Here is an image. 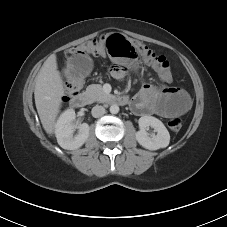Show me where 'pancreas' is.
<instances>
[{"mask_svg": "<svg viewBox=\"0 0 227 227\" xmlns=\"http://www.w3.org/2000/svg\"><path fill=\"white\" fill-rule=\"evenodd\" d=\"M87 93L90 95L92 101L100 103L107 102L112 96L103 91V88L99 84H93L88 86Z\"/></svg>", "mask_w": 227, "mask_h": 227, "instance_id": "obj_1", "label": "pancreas"}]
</instances>
